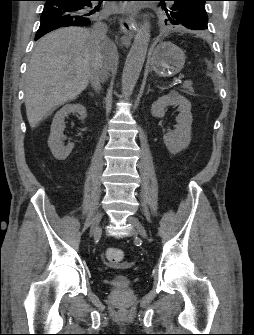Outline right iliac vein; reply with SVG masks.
<instances>
[{"instance_id": "1", "label": "right iliac vein", "mask_w": 254, "mask_h": 335, "mask_svg": "<svg viewBox=\"0 0 254 335\" xmlns=\"http://www.w3.org/2000/svg\"><path fill=\"white\" fill-rule=\"evenodd\" d=\"M102 216H103V213L102 212H98L93 221H92V224H91V227H90V236H97L100 234L101 230H100V227H99V224L101 222V219H102Z\"/></svg>"}]
</instances>
